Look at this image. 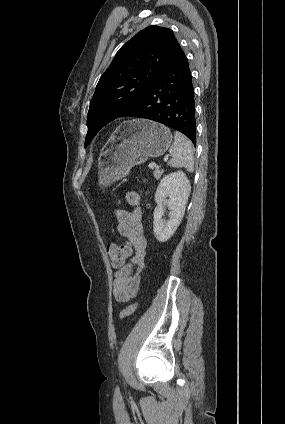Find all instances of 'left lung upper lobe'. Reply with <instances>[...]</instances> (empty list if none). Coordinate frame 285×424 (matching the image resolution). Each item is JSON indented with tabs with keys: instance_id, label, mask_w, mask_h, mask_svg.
I'll return each mask as SVG.
<instances>
[{
	"instance_id": "left-lung-upper-lobe-1",
	"label": "left lung upper lobe",
	"mask_w": 285,
	"mask_h": 424,
	"mask_svg": "<svg viewBox=\"0 0 285 424\" xmlns=\"http://www.w3.org/2000/svg\"><path fill=\"white\" fill-rule=\"evenodd\" d=\"M177 45L170 29L149 26L119 49L91 99L84 147L101 128L144 95L166 67Z\"/></svg>"
}]
</instances>
